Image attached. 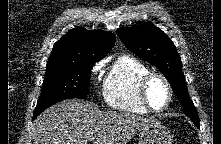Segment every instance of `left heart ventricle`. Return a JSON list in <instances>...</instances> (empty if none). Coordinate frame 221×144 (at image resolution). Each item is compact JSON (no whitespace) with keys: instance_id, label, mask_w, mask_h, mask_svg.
I'll return each mask as SVG.
<instances>
[{"instance_id":"b2bd125f","label":"left heart ventricle","mask_w":221,"mask_h":144,"mask_svg":"<svg viewBox=\"0 0 221 144\" xmlns=\"http://www.w3.org/2000/svg\"><path fill=\"white\" fill-rule=\"evenodd\" d=\"M147 94L149 102L153 108L161 109L166 105L168 100V91L161 79L153 78L150 81Z\"/></svg>"}]
</instances>
